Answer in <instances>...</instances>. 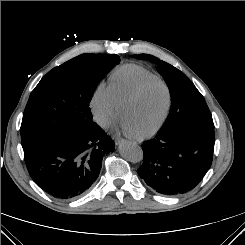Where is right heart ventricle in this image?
<instances>
[{
	"instance_id": "obj_1",
	"label": "right heart ventricle",
	"mask_w": 245,
	"mask_h": 245,
	"mask_svg": "<svg viewBox=\"0 0 245 245\" xmlns=\"http://www.w3.org/2000/svg\"><path fill=\"white\" fill-rule=\"evenodd\" d=\"M156 76L147 68L136 64H125L110 75L109 85L118 104L143 80Z\"/></svg>"
}]
</instances>
